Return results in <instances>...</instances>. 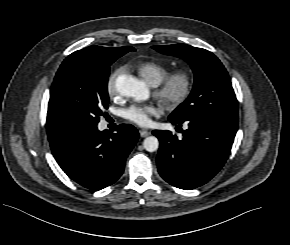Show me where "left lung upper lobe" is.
Returning <instances> with one entry per match:
<instances>
[{
    "label": "left lung upper lobe",
    "instance_id": "1",
    "mask_svg": "<svg viewBox=\"0 0 290 245\" xmlns=\"http://www.w3.org/2000/svg\"><path fill=\"white\" fill-rule=\"evenodd\" d=\"M156 51L187 61L194 72L190 96L169 116L180 121L205 112L221 120L238 122V102L229 75L220 60L208 50L186 44L153 46Z\"/></svg>",
    "mask_w": 290,
    "mask_h": 245
}]
</instances>
